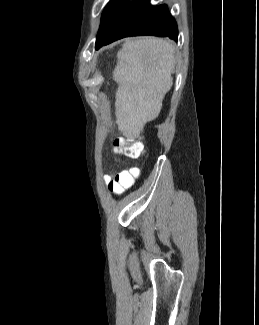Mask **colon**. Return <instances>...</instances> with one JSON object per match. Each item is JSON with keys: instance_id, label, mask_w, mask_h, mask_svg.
Listing matches in <instances>:
<instances>
[{"instance_id": "colon-1", "label": "colon", "mask_w": 259, "mask_h": 325, "mask_svg": "<svg viewBox=\"0 0 259 325\" xmlns=\"http://www.w3.org/2000/svg\"><path fill=\"white\" fill-rule=\"evenodd\" d=\"M113 150L116 153L137 158L143 154V145L138 141H126L116 138L113 141ZM138 173L134 170L122 171L108 181L109 191L115 195L122 194L126 189L132 187Z\"/></svg>"}]
</instances>
